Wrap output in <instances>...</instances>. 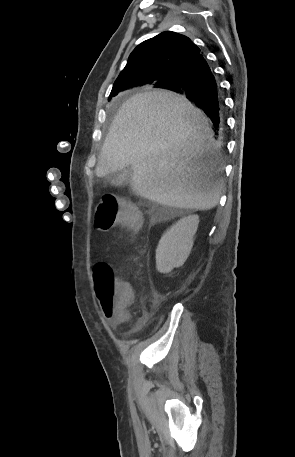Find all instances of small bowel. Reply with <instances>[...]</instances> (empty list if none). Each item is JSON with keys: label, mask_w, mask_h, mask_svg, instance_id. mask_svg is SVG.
Segmentation results:
<instances>
[{"label": "small bowel", "mask_w": 295, "mask_h": 457, "mask_svg": "<svg viewBox=\"0 0 295 457\" xmlns=\"http://www.w3.org/2000/svg\"><path fill=\"white\" fill-rule=\"evenodd\" d=\"M109 319H110V322H111V324H112L113 326H117L120 322H122V321L125 320L126 318H124V319H119V318L113 316V317H109Z\"/></svg>", "instance_id": "c3829d8e"}]
</instances>
